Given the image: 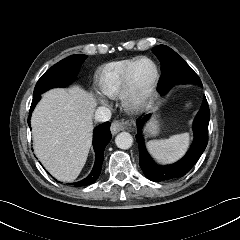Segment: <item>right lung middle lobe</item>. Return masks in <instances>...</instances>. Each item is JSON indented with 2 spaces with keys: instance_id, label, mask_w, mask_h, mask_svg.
Here are the masks:
<instances>
[{
  "instance_id": "right-lung-middle-lobe-1",
  "label": "right lung middle lobe",
  "mask_w": 240,
  "mask_h": 240,
  "mask_svg": "<svg viewBox=\"0 0 240 240\" xmlns=\"http://www.w3.org/2000/svg\"><path fill=\"white\" fill-rule=\"evenodd\" d=\"M86 57L87 55L84 54H75L55 64L38 80L33 96L42 94L51 88L65 87L70 84Z\"/></svg>"
}]
</instances>
